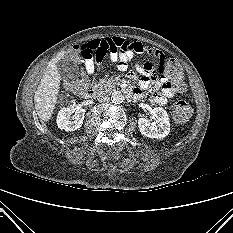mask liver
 <instances>
[{
    "instance_id": "liver-1",
    "label": "liver",
    "mask_w": 233,
    "mask_h": 233,
    "mask_svg": "<svg viewBox=\"0 0 233 233\" xmlns=\"http://www.w3.org/2000/svg\"><path fill=\"white\" fill-rule=\"evenodd\" d=\"M66 51L59 52L47 65V68L35 91V110L43 121H48L55 109L57 94L59 92L61 76L56 63L65 55Z\"/></svg>"
}]
</instances>
